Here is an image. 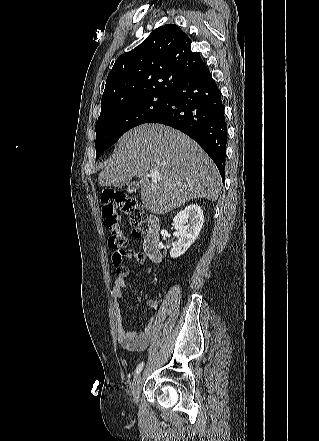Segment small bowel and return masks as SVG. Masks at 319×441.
I'll use <instances>...</instances> for the list:
<instances>
[{
    "label": "small bowel",
    "instance_id": "1",
    "mask_svg": "<svg viewBox=\"0 0 319 441\" xmlns=\"http://www.w3.org/2000/svg\"><path fill=\"white\" fill-rule=\"evenodd\" d=\"M126 257L137 264H143L146 260V255L143 252L135 250L128 251ZM114 265L116 266V278L111 288V300L118 342L128 351H144L150 344L154 334L156 312L159 308V301L153 298L147 300L146 305L152 311V314L142 330L139 332L126 331L123 326L120 302L123 295V289L126 286V278L129 274V269L122 265V263Z\"/></svg>",
    "mask_w": 319,
    "mask_h": 441
}]
</instances>
